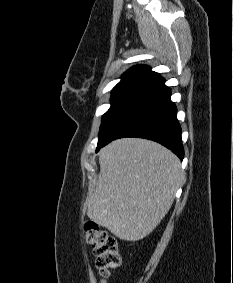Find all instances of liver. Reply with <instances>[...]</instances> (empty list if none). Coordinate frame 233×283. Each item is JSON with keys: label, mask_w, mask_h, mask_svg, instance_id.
Listing matches in <instances>:
<instances>
[{"label": "liver", "mask_w": 233, "mask_h": 283, "mask_svg": "<svg viewBox=\"0 0 233 283\" xmlns=\"http://www.w3.org/2000/svg\"><path fill=\"white\" fill-rule=\"evenodd\" d=\"M99 164L89 219L121 240L145 238L173 204L183 179L179 158L156 142L122 138L100 150Z\"/></svg>", "instance_id": "obj_1"}]
</instances>
